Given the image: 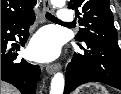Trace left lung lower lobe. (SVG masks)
I'll return each instance as SVG.
<instances>
[{
    "mask_svg": "<svg viewBox=\"0 0 121 94\" xmlns=\"http://www.w3.org/2000/svg\"><path fill=\"white\" fill-rule=\"evenodd\" d=\"M79 43L85 54L75 53L66 69L64 94L88 82H101L121 90V51L118 44L100 40Z\"/></svg>",
    "mask_w": 121,
    "mask_h": 94,
    "instance_id": "1",
    "label": "left lung lower lobe"
}]
</instances>
